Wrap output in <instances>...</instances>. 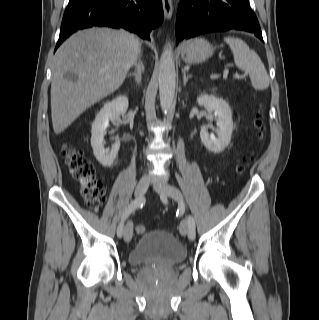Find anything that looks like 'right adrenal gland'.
<instances>
[{"label":"right adrenal gland","instance_id":"2a0ac1e0","mask_svg":"<svg viewBox=\"0 0 319 320\" xmlns=\"http://www.w3.org/2000/svg\"><path fill=\"white\" fill-rule=\"evenodd\" d=\"M143 70H144L143 63L141 61H138V63L135 64V71L132 73H129L128 76H134L136 83L140 85L142 80Z\"/></svg>","mask_w":319,"mask_h":320}]
</instances>
